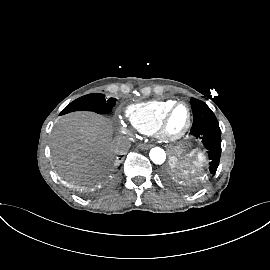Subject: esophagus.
Wrapping results in <instances>:
<instances>
[{
	"label": "esophagus",
	"mask_w": 270,
	"mask_h": 270,
	"mask_svg": "<svg viewBox=\"0 0 270 270\" xmlns=\"http://www.w3.org/2000/svg\"><path fill=\"white\" fill-rule=\"evenodd\" d=\"M140 148H141L142 150H148V149L151 148V145H150V144H141V145H140Z\"/></svg>",
	"instance_id": "1"
}]
</instances>
